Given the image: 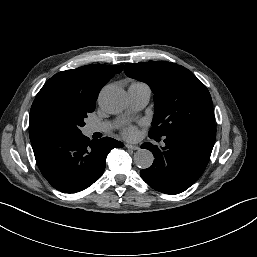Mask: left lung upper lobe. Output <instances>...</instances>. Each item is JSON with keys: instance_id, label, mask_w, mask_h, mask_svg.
<instances>
[{"instance_id": "obj_1", "label": "left lung upper lobe", "mask_w": 257, "mask_h": 257, "mask_svg": "<svg viewBox=\"0 0 257 257\" xmlns=\"http://www.w3.org/2000/svg\"><path fill=\"white\" fill-rule=\"evenodd\" d=\"M127 76L147 83L155 94V116L150 137L188 128L214 127L210 93L188 69L172 62L126 63Z\"/></svg>"}]
</instances>
